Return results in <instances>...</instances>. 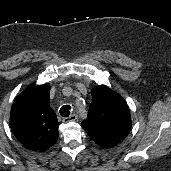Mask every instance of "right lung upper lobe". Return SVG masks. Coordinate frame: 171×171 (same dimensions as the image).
I'll list each match as a JSON object with an SVG mask.
<instances>
[{"label": "right lung upper lobe", "mask_w": 171, "mask_h": 171, "mask_svg": "<svg viewBox=\"0 0 171 171\" xmlns=\"http://www.w3.org/2000/svg\"><path fill=\"white\" fill-rule=\"evenodd\" d=\"M49 100L50 87L40 85L25 90L13 103L10 127L28 149L44 152L58 139L59 122Z\"/></svg>", "instance_id": "cb5924a9"}]
</instances>
